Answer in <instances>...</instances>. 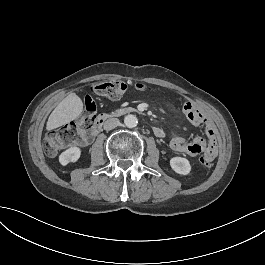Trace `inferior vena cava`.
I'll return each mask as SVG.
<instances>
[{
    "instance_id": "obj_1",
    "label": "inferior vena cava",
    "mask_w": 265,
    "mask_h": 265,
    "mask_svg": "<svg viewBox=\"0 0 265 265\" xmlns=\"http://www.w3.org/2000/svg\"><path fill=\"white\" fill-rule=\"evenodd\" d=\"M119 125V119L117 118H109L104 121L103 129L104 130H112Z\"/></svg>"
}]
</instances>
